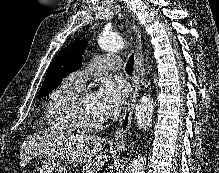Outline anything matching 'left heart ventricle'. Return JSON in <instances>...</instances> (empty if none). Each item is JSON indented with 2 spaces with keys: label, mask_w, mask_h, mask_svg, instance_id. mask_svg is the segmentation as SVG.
<instances>
[{
  "label": "left heart ventricle",
  "mask_w": 219,
  "mask_h": 173,
  "mask_svg": "<svg viewBox=\"0 0 219 173\" xmlns=\"http://www.w3.org/2000/svg\"><path fill=\"white\" fill-rule=\"evenodd\" d=\"M81 110L84 117L90 122L98 123L104 120L97 108L95 94L93 93L87 95L84 98Z\"/></svg>",
  "instance_id": "b2bd125f"
}]
</instances>
